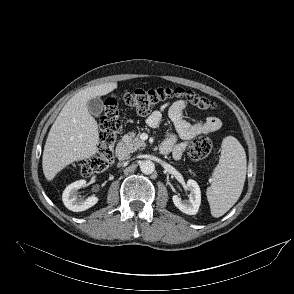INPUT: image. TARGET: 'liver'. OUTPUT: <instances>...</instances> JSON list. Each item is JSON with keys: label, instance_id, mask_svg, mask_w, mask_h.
<instances>
[{"label": "liver", "instance_id": "1", "mask_svg": "<svg viewBox=\"0 0 294 294\" xmlns=\"http://www.w3.org/2000/svg\"><path fill=\"white\" fill-rule=\"evenodd\" d=\"M110 82L86 88L75 94L54 121L43 151L42 167L45 178L52 181L67 165L92 157L99 142L98 125L87 109V102L114 89Z\"/></svg>", "mask_w": 294, "mask_h": 294}]
</instances>
